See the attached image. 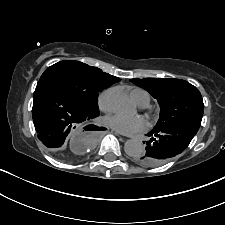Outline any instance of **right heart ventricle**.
<instances>
[{"label": "right heart ventricle", "mask_w": 225, "mask_h": 225, "mask_svg": "<svg viewBox=\"0 0 225 225\" xmlns=\"http://www.w3.org/2000/svg\"><path fill=\"white\" fill-rule=\"evenodd\" d=\"M132 99L140 106L145 107L150 103V95L147 91L135 88L130 93Z\"/></svg>", "instance_id": "obj_1"}]
</instances>
